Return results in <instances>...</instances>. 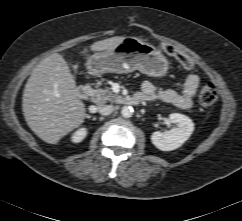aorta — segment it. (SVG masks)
<instances>
[{"instance_id":"obj_1","label":"aorta","mask_w":242,"mask_h":221,"mask_svg":"<svg viewBox=\"0 0 242 221\" xmlns=\"http://www.w3.org/2000/svg\"><path fill=\"white\" fill-rule=\"evenodd\" d=\"M133 108L131 106H123L121 110V115L124 118H130L133 114Z\"/></svg>"}]
</instances>
